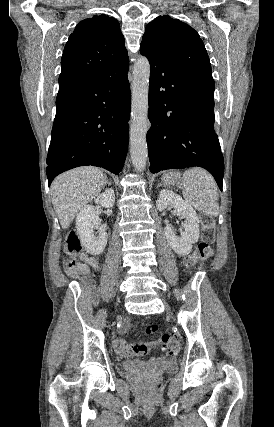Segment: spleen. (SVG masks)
Returning <instances> with one entry per match:
<instances>
[{"mask_svg":"<svg viewBox=\"0 0 274 427\" xmlns=\"http://www.w3.org/2000/svg\"><path fill=\"white\" fill-rule=\"evenodd\" d=\"M184 200L206 215L219 214L218 192L214 178L202 168L186 170L182 178Z\"/></svg>","mask_w":274,"mask_h":427,"instance_id":"1","label":"spleen"}]
</instances>
